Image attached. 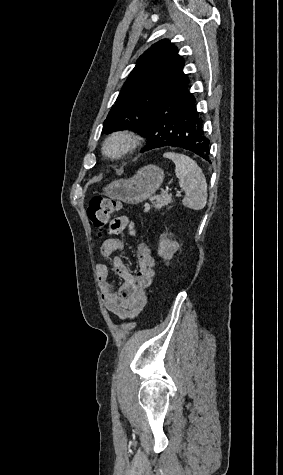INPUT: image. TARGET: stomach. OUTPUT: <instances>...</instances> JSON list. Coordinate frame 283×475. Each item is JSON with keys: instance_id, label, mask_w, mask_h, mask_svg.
Instances as JSON below:
<instances>
[{"instance_id": "obj_1", "label": "stomach", "mask_w": 283, "mask_h": 475, "mask_svg": "<svg viewBox=\"0 0 283 475\" xmlns=\"http://www.w3.org/2000/svg\"><path fill=\"white\" fill-rule=\"evenodd\" d=\"M164 172L158 166H144L130 180H115L104 190L105 196L121 200L125 204H140L151 198L164 180Z\"/></svg>"}]
</instances>
